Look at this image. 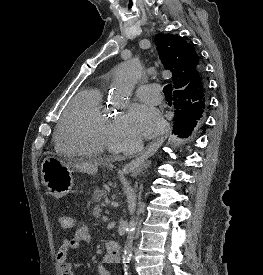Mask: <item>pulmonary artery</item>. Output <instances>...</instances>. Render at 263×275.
<instances>
[{"label":"pulmonary artery","instance_id":"e3ab8cb5","mask_svg":"<svg viewBox=\"0 0 263 275\" xmlns=\"http://www.w3.org/2000/svg\"><path fill=\"white\" fill-rule=\"evenodd\" d=\"M136 94L141 100L151 104H159L162 100L160 87L155 83L139 86Z\"/></svg>","mask_w":263,"mask_h":275}]
</instances>
